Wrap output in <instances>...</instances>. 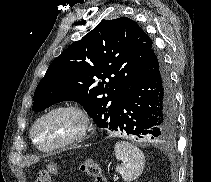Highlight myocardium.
<instances>
[{
  "mask_svg": "<svg viewBox=\"0 0 211 182\" xmlns=\"http://www.w3.org/2000/svg\"><path fill=\"white\" fill-rule=\"evenodd\" d=\"M57 112H71L74 115H76L80 121V126H79L78 130L75 133H73L72 135H70L69 137H67L66 139H64L56 144H52V145H48V146L40 145L35 138L36 128L38 127V125L40 124V122L42 120H44L45 118H47L50 115L57 113ZM90 128H91L90 116L82 107L73 105V104H63V105H58V106L51 108L50 110H48L47 112L42 114L34 122L32 128H31V131H30V138H31L32 142L34 143V145L38 149H40L42 151H51V150H55V149L73 144V143L81 140L88 133Z\"/></svg>",
  "mask_w": 211,
  "mask_h": 182,
  "instance_id": "myocardium-1",
  "label": "myocardium"
}]
</instances>
